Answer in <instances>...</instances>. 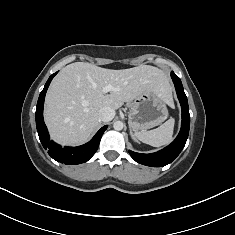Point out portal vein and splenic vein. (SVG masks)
Listing matches in <instances>:
<instances>
[{"label":"portal vein and splenic vein","instance_id":"obj_1","mask_svg":"<svg viewBox=\"0 0 235 235\" xmlns=\"http://www.w3.org/2000/svg\"><path fill=\"white\" fill-rule=\"evenodd\" d=\"M114 89V87L112 85H107L103 88V92L104 93H107V92H110Z\"/></svg>","mask_w":235,"mask_h":235}]
</instances>
